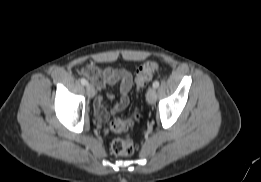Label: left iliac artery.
Segmentation results:
<instances>
[{
	"mask_svg": "<svg viewBox=\"0 0 261 182\" xmlns=\"http://www.w3.org/2000/svg\"><path fill=\"white\" fill-rule=\"evenodd\" d=\"M153 87H154V88H158V87H159V81L155 80V81L153 82Z\"/></svg>",
	"mask_w": 261,
	"mask_h": 182,
	"instance_id": "left-iliac-artery-1",
	"label": "left iliac artery"
}]
</instances>
